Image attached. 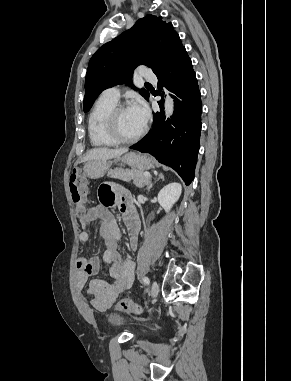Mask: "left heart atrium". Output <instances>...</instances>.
<instances>
[{"instance_id": "obj_1", "label": "left heart atrium", "mask_w": 291, "mask_h": 381, "mask_svg": "<svg viewBox=\"0 0 291 381\" xmlns=\"http://www.w3.org/2000/svg\"><path fill=\"white\" fill-rule=\"evenodd\" d=\"M130 108L139 118L140 122L145 125L149 117V111L145 102L142 99L137 98L134 100Z\"/></svg>"}]
</instances>
